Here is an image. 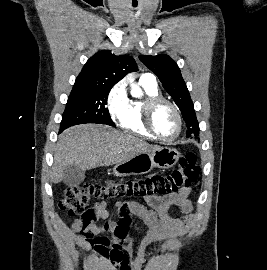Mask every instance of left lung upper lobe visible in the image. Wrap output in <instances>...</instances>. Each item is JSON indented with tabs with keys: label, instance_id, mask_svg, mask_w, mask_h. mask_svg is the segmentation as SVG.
<instances>
[{
	"label": "left lung upper lobe",
	"instance_id": "1",
	"mask_svg": "<svg viewBox=\"0 0 267 270\" xmlns=\"http://www.w3.org/2000/svg\"><path fill=\"white\" fill-rule=\"evenodd\" d=\"M139 59L159 78L179 107L187 126V137L199 134L193 102L176 62L167 55H140Z\"/></svg>",
	"mask_w": 267,
	"mask_h": 270
}]
</instances>
